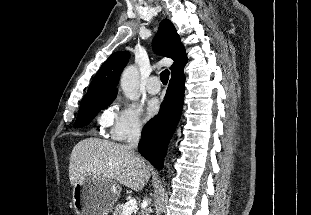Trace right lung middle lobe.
Returning a JSON list of instances; mask_svg holds the SVG:
<instances>
[{"label": "right lung middle lobe", "mask_w": 311, "mask_h": 215, "mask_svg": "<svg viewBox=\"0 0 311 215\" xmlns=\"http://www.w3.org/2000/svg\"><path fill=\"white\" fill-rule=\"evenodd\" d=\"M115 96H104L94 98L81 103L77 120L74 124L75 128L86 126L90 121L104 108L109 106Z\"/></svg>", "instance_id": "dd1d6c3e"}]
</instances>
